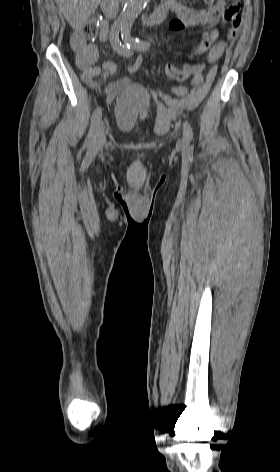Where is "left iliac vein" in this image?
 <instances>
[{
    "label": "left iliac vein",
    "mask_w": 280,
    "mask_h": 472,
    "mask_svg": "<svg viewBox=\"0 0 280 472\" xmlns=\"http://www.w3.org/2000/svg\"><path fill=\"white\" fill-rule=\"evenodd\" d=\"M177 146H178L179 148H182V147L184 146L183 141H179L178 144H177Z\"/></svg>",
    "instance_id": "obj_1"
}]
</instances>
